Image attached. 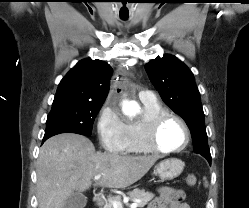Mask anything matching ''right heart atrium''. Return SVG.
<instances>
[{
	"label": "right heart atrium",
	"mask_w": 249,
	"mask_h": 208,
	"mask_svg": "<svg viewBox=\"0 0 249 208\" xmlns=\"http://www.w3.org/2000/svg\"><path fill=\"white\" fill-rule=\"evenodd\" d=\"M126 123L118 109L106 104L99 112L97 133L102 147L112 153H124Z\"/></svg>",
	"instance_id": "right-heart-atrium-1"
}]
</instances>
